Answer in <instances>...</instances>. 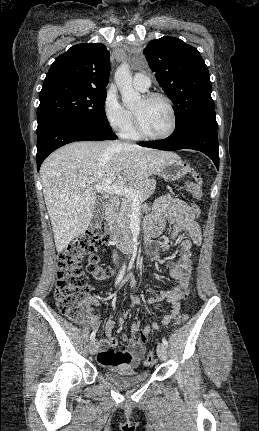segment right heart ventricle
Here are the masks:
<instances>
[{"instance_id":"e07e8e85","label":"right heart ventricle","mask_w":259,"mask_h":431,"mask_svg":"<svg viewBox=\"0 0 259 431\" xmlns=\"http://www.w3.org/2000/svg\"><path fill=\"white\" fill-rule=\"evenodd\" d=\"M122 135L124 138L130 140H137L140 138L134 129L133 117L130 124L122 131Z\"/></svg>"}]
</instances>
